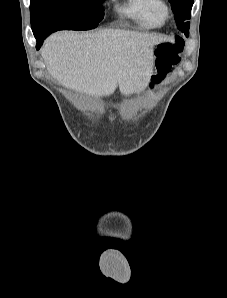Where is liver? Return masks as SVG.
Segmentation results:
<instances>
[{
	"label": "liver",
	"mask_w": 227,
	"mask_h": 298,
	"mask_svg": "<svg viewBox=\"0 0 227 298\" xmlns=\"http://www.w3.org/2000/svg\"><path fill=\"white\" fill-rule=\"evenodd\" d=\"M167 40L163 35L122 29L61 31L46 39L41 55L48 72L65 87L102 97L119 86L127 96L148 86L153 48Z\"/></svg>",
	"instance_id": "6515ba94"
}]
</instances>
